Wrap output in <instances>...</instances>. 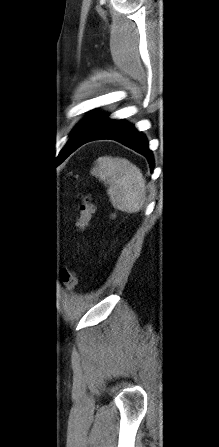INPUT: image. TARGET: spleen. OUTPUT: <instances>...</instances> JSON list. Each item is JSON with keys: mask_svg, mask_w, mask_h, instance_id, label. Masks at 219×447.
I'll return each instance as SVG.
<instances>
[{"mask_svg": "<svg viewBox=\"0 0 219 447\" xmlns=\"http://www.w3.org/2000/svg\"><path fill=\"white\" fill-rule=\"evenodd\" d=\"M108 185L107 193L118 210L135 213L146 199L145 179L138 167L125 158L104 156L91 171Z\"/></svg>", "mask_w": 219, "mask_h": 447, "instance_id": "3e777b00", "label": "spleen"}]
</instances>
